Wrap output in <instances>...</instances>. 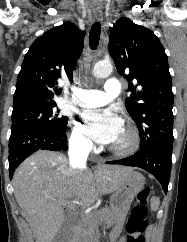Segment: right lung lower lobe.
Instances as JSON below:
<instances>
[{"label": "right lung lower lobe", "instance_id": "obj_1", "mask_svg": "<svg viewBox=\"0 0 187 242\" xmlns=\"http://www.w3.org/2000/svg\"><path fill=\"white\" fill-rule=\"evenodd\" d=\"M65 132L50 130L20 129L11 131L9 139V175L13 177L19 164L38 150H67Z\"/></svg>", "mask_w": 187, "mask_h": 242}]
</instances>
